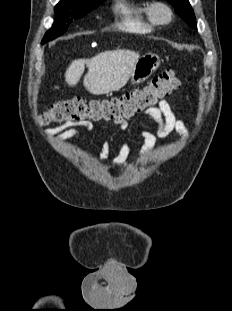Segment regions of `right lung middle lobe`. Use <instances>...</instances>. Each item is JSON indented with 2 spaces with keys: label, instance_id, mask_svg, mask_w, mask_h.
<instances>
[{
  "label": "right lung middle lobe",
  "instance_id": "obj_1",
  "mask_svg": "<svg viewBox=\"0 0 232 311\" xmlns=\"http://www.w3.org/2000/svg\"><path fill=\"white\" fill-rule=\"evenodd\" d=\"M103 0H60L55 6V21L49 29L42 44L61 36L73 19L81 18L100 5Z\"/></svg>",
  "mask_w": 232,
  "mask_h": 311
}]
</instances>
